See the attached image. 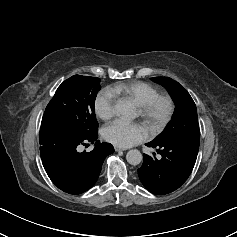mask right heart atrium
<instances>
[{
  "mask_svg": "<svg viewBox=\"0 0 237 237\" xmlns=\"http://www.w3.org/2000/svg\"><path fill=\"white\" fill-rule=\"evenodd\" d=\"M116 95L109 89L101 90L94 100L96 115L102 120H109L115 114Z\"/></svg>",
  "mask_w": 237,
  "mask_h": 237,
  "instance_id": "d8ad5b80",
  "label": "right heart atrium"
}]
</instances>
